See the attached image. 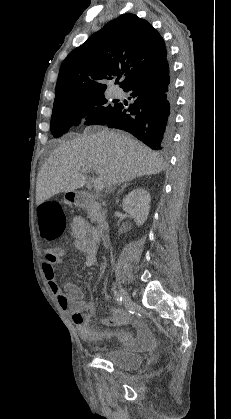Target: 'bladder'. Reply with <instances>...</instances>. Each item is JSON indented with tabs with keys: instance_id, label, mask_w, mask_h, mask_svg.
<instances>
[{
	"instance_id": "31cf9c89",
	"label": "bladder",
	"mask_w": 231,
	"mask_h": 419,
	"mask_svg": "<svg viewBox=\"0 0 231 419\" xmlns=\"http://www.w3.org/2000/svg\"><path fill=\"white\" fill-rule=\"evenodd\" d=\"M102 358L122 370L139 368L144 362V356L137 353H129L119 348H105L101 352Z\"/></svg>"
}]
</instances>
